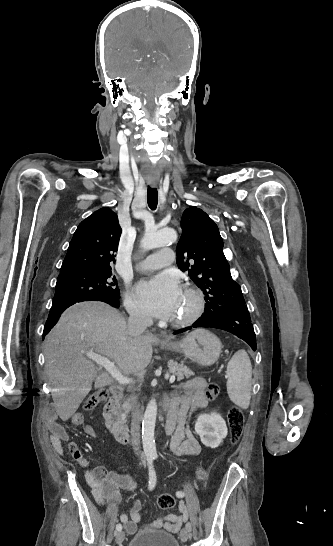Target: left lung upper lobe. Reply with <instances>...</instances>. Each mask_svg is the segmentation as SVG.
<instances>
[{
  "mask_svg": "<svg viewBox=\"0 0 333 546\" xmlns=\"http://www.w3.org/2000/svg\"><path fill=\"white\" fill-rule=\"evenodd\" d=\"M181 227L178 268L187 271L205 294V312L245 304L239 284L231 277L215 222L203 210L190 206L182 215Z\"/></svg>",
  "mask_w": 333,
  "mask_h": 546,
  "instance_id": "obj_1",
  "label": "left lung upper lobe"
}]
</instances>
